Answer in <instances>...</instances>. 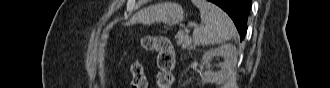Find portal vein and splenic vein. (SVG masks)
<instances>
[{
	"instance_id": "1",
	"label": "portal vein and splenic vein",
	"mask_w": 330,
	"mask_h": 88,
	"mask_svg": "<svg viewBox=\"0 0 330 88\" xmlns=\"http://www.w3.org/2000/svg\"><path fill=\"white\" fill-rule=\"evenodd\" d=\"M189 30H188V28H185V32H188Z\"/></svg>"
}]
</instances>
